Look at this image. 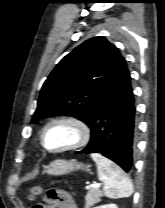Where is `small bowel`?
<instances>
[{
    "mask_svg": "<svg viewBox=\"0 0 165 208\" xmlns=\"http://www.w3.org/2000/svg\"><path fill=\"white\" fill-rule=\"evenodd\" d=\"M37 208H77L72 196L61 189H51L43 203H37L32 206Z\"/></svg>",
    "mask_w": 165,
    "mask_h": 208,
    "instance_id": "obj_1",
    "label": "small bowel"
}]
</instances>
